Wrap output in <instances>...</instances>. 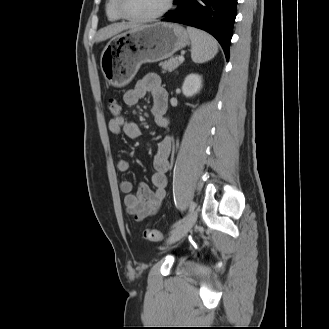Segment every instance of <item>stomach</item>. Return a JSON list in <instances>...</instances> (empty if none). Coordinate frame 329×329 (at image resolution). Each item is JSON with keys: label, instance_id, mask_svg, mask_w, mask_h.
<instances>
[{"label": "stomach", "instance_id": "1", "mask_svg": "<svg viewBox=\"0 0 329 329\" xmlns=\"http://www.w3.org/2000/svg\"><path fill=\"white\" fill-rule=\"evenodd\" d=\"M189 43L188 32L175 23L141 25L114 36L105 46L100 66L114 87L127 85L144 63L171 57Z\"/></svg>", "mask_w": 329, "mask_h": 329}]
</instances>
